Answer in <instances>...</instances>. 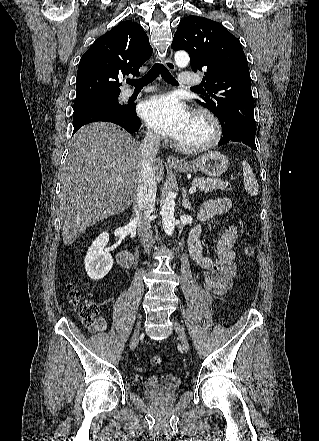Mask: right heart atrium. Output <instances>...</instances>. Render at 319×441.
Returning a JSON list of instances; mask_svg holds the SVG:
<instances>
[{"instance_id": "1", "label": "right heart atrium", "mask_w": 319, "mask_h": 441, "mask_svg": "<svg viewBox=\"0 0 319 441\" xmlns=\"http://www.w3.org/2000/svg\"><path fill=\"white\" fill-rule=\"evenodd\" d=\"M146 135H147L148 139L151 141H157L159 139L158 134L150 129L147 130Z\"/></svg>"}]
</instances>
